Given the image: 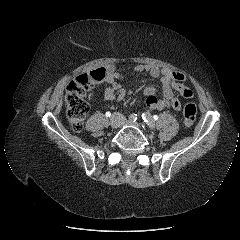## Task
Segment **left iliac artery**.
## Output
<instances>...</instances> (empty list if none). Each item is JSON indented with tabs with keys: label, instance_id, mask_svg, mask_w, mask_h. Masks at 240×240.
Segmentation results:
<instances>
[{
	"label": "left iliac artery",
	"instance_id": "44dca946",
	"mask_svg": "<svg viewBox=\"0 0 240 240\" xmlns=\"http://www.w3.org/2000/svg\"><path fill=\"white\" fill-rule=\"evenodd\" d=\"M143 121L150 127L154 128V121L152 120L151 116L149 113H143L142 115Z\"/></svg>",
	"mask_w": 240,
	"mask_h": 240
}]
</instances>
